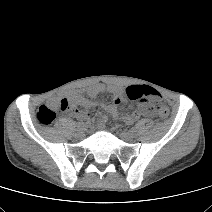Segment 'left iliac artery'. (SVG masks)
<instances>
[{
    "mask_svg": "<svg viewBox=\"0 0 212 212\" xmlns=\"http://www.w3.org/2000/svg\"><path fill=\"white\" fill-rule=\"evenodd\" d=\"M132 132H136V128L135 127L132 128Z\"/></svg>",
    "mask_w": 212,
    "mask_h": 212,
    "instance_id": "left-iliac-artery-1",
    "label": "left iliac artery"
}]
</instances>
